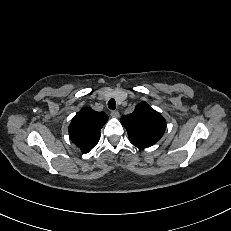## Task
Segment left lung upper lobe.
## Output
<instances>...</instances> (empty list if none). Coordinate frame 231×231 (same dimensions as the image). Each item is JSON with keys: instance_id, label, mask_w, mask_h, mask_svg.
Returning <instances> with one entry per match:
<instances>
[{"instance_id": "1", "label": "left lung upper lobe", "mask_w": 231, "mask_h": 231, "mask_svg": "<svg viewBox=\"0 0 231 231\" xmlns=\"http://www.w3.org/2000/svg\"><path fill=\"white\" fill-rule=\"evenodd\" d=\"M130 142L138 148L154 145L164 134L165 119L146 102L138 104L133 113L121 117Z\"/></svg>"}]
</instances>
